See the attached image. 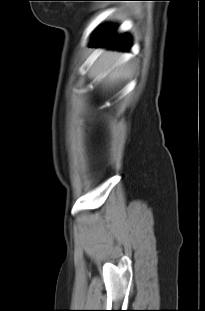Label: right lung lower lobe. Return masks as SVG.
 I'll list each match as a JSON object with an SVG mask.
<instances>
[{"label":"right lung lower lobe","instance_id":"98d812e1","mask_svg":"<svg viewBox=\"0 0 205 311\" xmlns=\"http://www.w3.org/2000/svg\"><path fill=\"white\" fill-rule=\"evenodd\" d=\"M114 28L103 29L97 35L96 39L91 43L90 46H105L107 48L119 49L123 51L129 50V40L126 36L114 37L112 36Z\"/></svg>","mask_w":205,"mask_h":311}]
</instances>
